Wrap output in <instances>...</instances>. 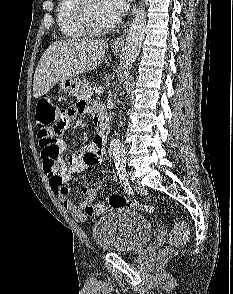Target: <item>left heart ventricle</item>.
I'll list each match as a JSON object with an SVG mask.
<instances>
[{
    "instance_id": "left-heart-ventricle-1",
    "label": "left heart ventricle",
    "mask_w": 233,
    "mask_h": 294,
    "mask_svg": "<svg viewBox=\"0 0 233 294\" xmlns=\"http://www.w3.org/2000/svg\"><path fill=\"white\" fill-rule=\"evenodd\" d=\"M91 13L97 25H106L114 21L107 13L103 0H91Z\"/></svg>"
}]
</instances>
